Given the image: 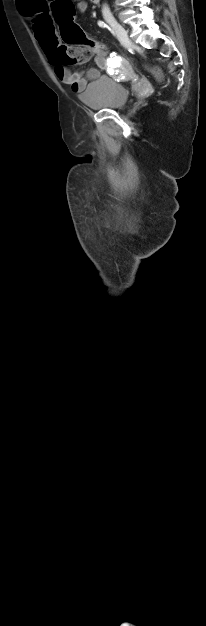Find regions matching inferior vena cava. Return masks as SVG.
<instances>
[{"mask_svg":"<svg viewBox=\"0 0 206 626\" xmlns=\"http://www.w3.org/2000/svg\"><path fill=\"white\" fill-rule=\"evenodd\" d=\"M102 13H103V15H109V16L111 15L110 9H109V7L107 5H103Z\"/></svg>","mask_w":206,"mask_h":626,"instance_id":"inferior-vena-cava-1","label":"inferior vena cava"}]
</instances>
